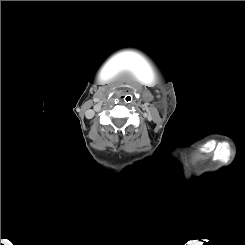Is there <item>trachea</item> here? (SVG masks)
<instances>
[{"label": "trachea", "instance_id": "3493384b", "mask_svg": "<svg viewBox=\"0 0 245 245\" xmlns=\"http://www.w3.org/2000/svg\"><path fill=\"white\" fill-rule=\"evenodd\" d=\"M124 101L126 103H130L132 101V97L130 95H127L125 98H124Z\"/></svg>", "mask_w": 245, "mask_h": 245}]
</instances>
